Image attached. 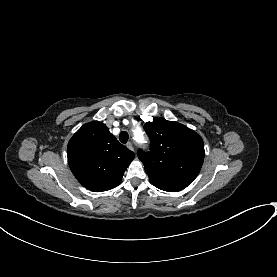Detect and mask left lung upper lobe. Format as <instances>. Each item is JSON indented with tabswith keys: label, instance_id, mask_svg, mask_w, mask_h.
I'll use <instances>...</instances> for the list:
<instances>
[{
	"label": "left lung upper lobe",
	"instance_id": "obj_1",
	"mask_svg": "<svg viewBox=\"0 0 277 277\" xmlns=\"http://www.w3.org/2000/svg\"><path fill=\"white\" fill-rule=\"evenodd\" d=\"M144 129L150 137L148 153L138 150L149 181L169 192L186 188L198 175L204 160V144L199 134L173 121L154 118Z\"/></svg>",
	"mask_w": 277,
	"mask_h": 277
}]
</instances>
